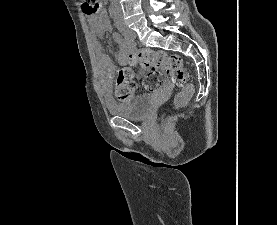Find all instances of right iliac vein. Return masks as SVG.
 <instances>
[{
	"label": "right iliac vein",
	"instance_id": "63e3f726",
	"mask_svg": "<svg viewBox=\"0 0 277 225\" xmlns=\"http://www.w3.org/2000/svg\"><path fill=\"white\" fill-rule=\"evenodd\" d=\"M122 34L128 38H135V33L128 29H121Z\"/></svg>",
	"mask_w": 277,
	"mask_h": 225
}]
</instances>
